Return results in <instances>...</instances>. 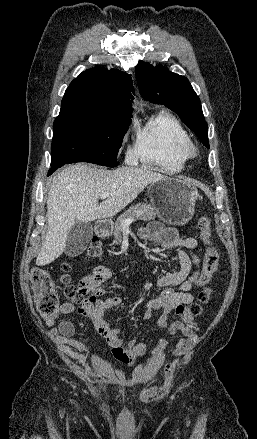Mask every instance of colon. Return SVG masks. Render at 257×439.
<instances>
[{"label": "colon", "mask_w": 257, "mask_h": 439, "mask_svg": "<svg viewBox=\"0 0 257 439\" xmlns=\"http://www.w3.org/2000/svg\"><path fill=\"white\" fill-rule=\"evenodd\" d=\"M200 237L205 244L203 266L200 272V285L207 284L214 276L219 262V254L211 241V224L207 216L203 215L198 221ZM101 243L94 238L86 250L89 258H97L101 255ZM62 275L58 281L41 268H34L31 272V285L37 299L39 312L42 316L48 318L56 314L58 310L59 295L57 292L58 284L62 288V295L71 301L78 303L79 310L91 311L95 309L100 297L104 295H95L86 289L75 287L71 283L69 276L70 266L66 263L60 267ZM211 296V290L204 288L198 295L195 303L191 304L187 309V316L194 320L202 313V306L206 304Z\"/></svg>", "instance_id": "colon-1"}]
</instances>
